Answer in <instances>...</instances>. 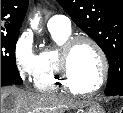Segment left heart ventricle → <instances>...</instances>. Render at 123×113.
Returning <instances> with one entry per match:
<instances>
[{"mask_svg":"<svg viewBox=\"0 0 123 113\" xmlns=\"http://www.w3.org/2000/svg\"><path fill=\"white\" fill-rule=\"evenodd\" d=\"M70 73L75 84L92 89L101 75V60L96 50L88 43H80L70 59Z\"/></svg>","mask_w":123,"mask_h":113,"instance_id":"left-heart-ventricle-1","label":"left heart ventricle"}]
</instances>
